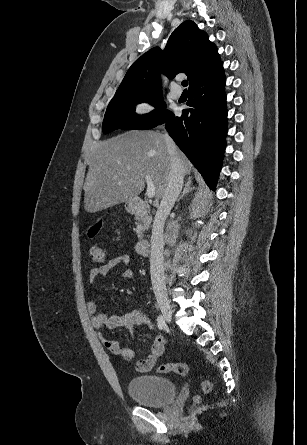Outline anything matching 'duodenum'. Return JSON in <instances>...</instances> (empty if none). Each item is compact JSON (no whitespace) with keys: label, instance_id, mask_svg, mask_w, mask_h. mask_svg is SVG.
I'll list each match as a JSON object with an SVG mask.
<instances>
[{"label":"duodenum","instance_id":"duodenum-1","mask_svg":"<svg viewBox=\"0 0 307 445\" xmlns=\"http://www.w3.org/2000/svg\"><path fill=\"white\" fill-rule=\"evenodd\" d=\"M128 210L131 214L141 216L148 210L147 203L141 198H134L128 204ZM136 251L139 255L147 256L150 252V241L142 239L136 246Z\"/></svg>","mask_w":307,"mask_h":445}]
</instances>
